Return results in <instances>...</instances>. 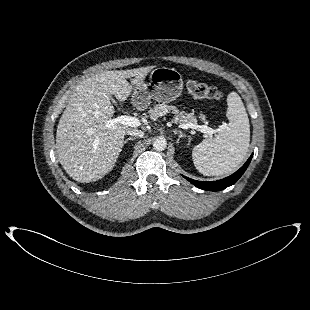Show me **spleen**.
Instances as JSON below:
<instances>
[{"instance_id": "obj_1", "label": "spleen", "mask_w": 310, "mask_h": 310, "mask_svg": "<svg viewBox=\"0 0 310 310\" xmlns=\"http://www.w3.org/2000/svg\"><path fill=\"white\" fill-rule=\"evenodd\" d=\"M227 105L229 123L226 127L192 151L196 169L205 176H219L235 170L248 152L250 124L244 104L236 92H231Z\"/></svg>"}]
</instances>
